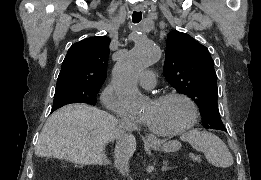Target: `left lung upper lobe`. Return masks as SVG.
Here are the masks:
<instances>
[{"label": "left lung upper lobe", "instance_id": "obj_1", "mask_svg": "<svg viewBox=\"0 0 261 180\" xmlns=\"http://www.w3.org/2000/svg\"><path fill=\"white\" fill-rule=\"evenodd\" d=\"M164 73L176 91L199 107L205 128L225 131L217 106V81L208 49L186 33L168 34Z\"/></svg>", "mask_w": 261, "mask_h": 180}]
</instances>
